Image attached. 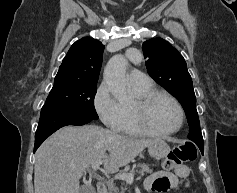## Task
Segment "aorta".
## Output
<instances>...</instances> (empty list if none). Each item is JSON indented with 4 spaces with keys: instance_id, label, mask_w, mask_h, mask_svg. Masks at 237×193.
I'll return each instance as SVG.
<instances>
[{
    "instance_id": "762f6f07",
    "label": "aorta",
    "mask_w": 237,
    "mask_h": 193,
    "mask_svg": "<svg viewBox=\"0 0 237 193\" xmlns=\"http://www.w3.org/2000/svg\"><path fill=\"white\" fill-rule=\"evenodd\" d=\"M126 66L127 60L122 55H115L104 69V79L109 90L121 103H127L130 100Z\"/></svg>"
}]
</instances>
